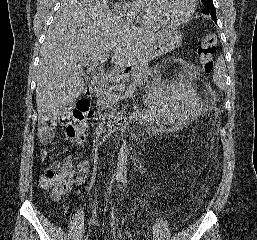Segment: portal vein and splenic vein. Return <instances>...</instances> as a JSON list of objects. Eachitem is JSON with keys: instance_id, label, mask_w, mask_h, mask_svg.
<instances>
[{"instance_id": "1", "label": "portal vein and splenic vein", "mask_w": 257, "mask_h": 240, "mask_svg": "<svg viewBox=\"0 0 257 240\" xmlns=\"http://www.w3.org/2000/svg\"><path fill=\"white\" fill-rule=\"evenodd\" d=\"M106 58H107L106 55H101V56L95 58V59L93 60V64L90 65V69H91V70H94L99 64L104 63L105 60H106ZM99 70L101 71V69H99ZM133 91H134V88H133L132 86H130V87L128 88L127 92L125 93V95H131V94L133 93ZM114 98H115L116 100H119V98H121V96H120V95H114Z\"/></svg>"}]
</instances>
